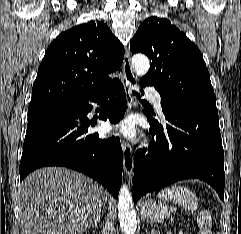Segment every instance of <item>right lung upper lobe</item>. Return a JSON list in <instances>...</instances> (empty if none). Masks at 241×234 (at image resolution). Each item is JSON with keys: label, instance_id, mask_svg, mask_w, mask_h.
Segmentation results:
<instances>
[{"label": "right lung upper lobe", "instance_id": "right-lung-upper-lobe-1", "mask_svg": "<svg viewBox=\"0 0 241 234\" xmlns=\"http://www.w3.org/2000/svg\"><path fill=\"white\" fill-rule=\"evenodd\" d=\"M124 47L102 21L62 32L48 47L32 88L29 105L72 104L91 98L116 79Z\"/></svg>", "mask_w": 241, "mask_h": 234}]
</instances>
